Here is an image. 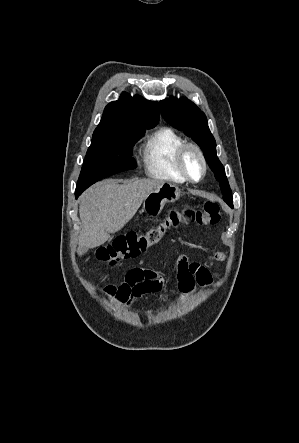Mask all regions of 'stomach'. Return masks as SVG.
<instances>
[{
  "label": "stomach",
  "mask_w": 299,
  "mask_h": 443,
  "mask_svg": "<svg viewBox=\"0 0 299 443\" xmlns=\"http://www.w3.org/2000/svg\"><path fill=\"white\" fill-rule=\"evenodd\" d=\"M181 192L177 186L171 183H164L155 188L143 202V212L150 216H157L161 213L165 204L175 202L180 198Z\"/></svg>",
  "instance_id": "1"
}]
</instances>
